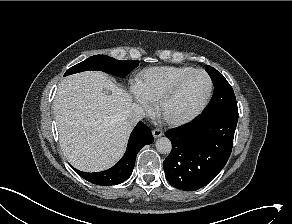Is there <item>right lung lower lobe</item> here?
I'll list each match as a JSON object with an SVG mask.
<instances>
[{"label":"right lung lower lobe","instance_id":"obj_1","mask_svg":"<svg viewBox=\"0 0 292 224\" xmlns=\"http://www.w3.org/2000/svg\"><path fill=\"white\" fill-rule=\"evenodd\" d=\"M153 142V136L149 127L143 122H139L133 129L127 150L123 158L112 168L103 172L87 173L79 171L75 168V172L85 180L97 185H116L124 182L132 174L136 155L146 144Z\"/></svg>","mask_w":292,"mask_h":224}]
</instances>
